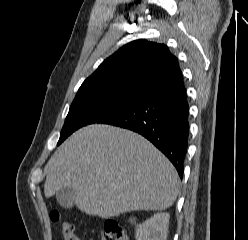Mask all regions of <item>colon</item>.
Returning a JSON list of instances; mask_svg holds the SVG:
<instances>
[{"instance_id":"colon-1","label":"colon","mask_w":248,"mask_h":240,"mask_svg":"<svg viewBox=\"0 0 248 240\" xmlns=\"http://www.w3.org/2000/svg\"><path fill=\"white\" fill-rule=\"evenodd\" d=\"M50 218L60 224L62 240H80L74 224L62 221L57 210L51 211ZM101 240H129V236L117 221L108 220L105 222Z\"/></svg>"}]
</instances>
